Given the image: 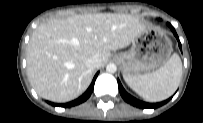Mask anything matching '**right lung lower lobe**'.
Here are the masks:
<instances>
[{"instance_id": "98d812e1", "label": "right lung lower lobe", "mask_w": 203, "mask_h": 123, "mask_svg": "<svg viewBox=\"0 0 203 123\" xmlns=\"http://www.w3.org/2000/svg\"><path fill=\"white\" fill-rule=\"evenodd\" d=\"M98 76V73L95 75L91 85L89 86V88L87 89V91L82 95L80 96L78 99L74 100V101H71V102H68V103H65V104H56V103H51L49 102L51 105L53 106H61V107H72V106H75V105H79L80 103H83L84 101H86L92 91H93V88H94V83H95V80H96V77Z\"/></svg>"}]
</instances>
